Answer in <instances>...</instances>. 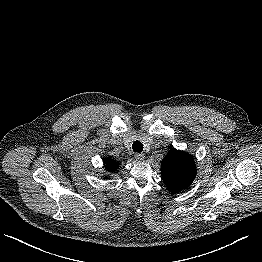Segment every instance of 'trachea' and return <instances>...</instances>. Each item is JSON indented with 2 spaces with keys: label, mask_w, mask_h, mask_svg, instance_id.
<instances>
[{
  "label": "trachea",
  "mask_w": 262,
  "mask_h": 262,
  "mask_svg": "<svg viewBox=\"0 0 262 262\" xmlns=\"http://www.w3.org/2000/svg\"><path fill=\"white\" fill-rule=\"evenodd\" d=\"M132 149L134 152L140 153L143 151V144L139 141H135L132 145Z\"/></svg>",
  "instance_id": "3493384b"
}]
</instances>
